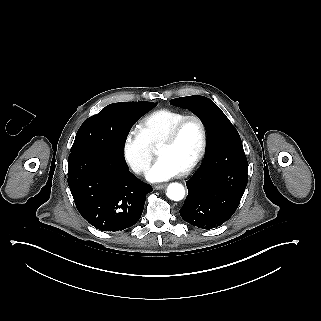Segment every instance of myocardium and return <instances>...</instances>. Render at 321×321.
Listing matches in <instances>:
<instances>
[{
    "mask_svg": "<svg viewBox=\"0 0 321 321\" xmlns=\"http://www.w3.org/2000/svg\"><path fill=\"white\" fill-rule=\"evenodd\" d=\"M191 120L197 121L200 126L201 144L199 151L193 159V161L191 162V164L182 171V174L184 175L192 173L200 165V163L205 157L208 147V130L204 120L198 115H187L184 118L180 119L178 122H176L171 127V129L160 138L161 141L173 142L177 138L181 128L185 125V123Z\"/></svg>",
    "mask_w": 321,
    "mask_h": 321,
    "instance_id": "obj_1",
    "label": "myocardium"
}]
</instances>
